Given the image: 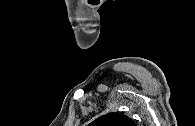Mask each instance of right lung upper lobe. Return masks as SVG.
Listing matches in <instances>:
<instances>
[{"mask_svg": "<svg viewBox=\"0 0 195 126\" xmlns=\"http://www.w3.org/2000/svg\"><path fill=\"white\" fill-rule=\"evenodd\" d=\"M88 126H135V123L123 114L108 113L97 118Z\"/></svg>", "mask_w": 195, "mask_h": 126, "instance_id": "right-lung-upper-lobe-1", "label": "right lung upper lobe"}]
</instances>
